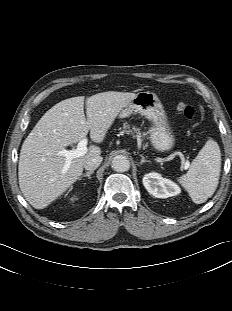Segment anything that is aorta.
<instances>
[{
    "mask_svg": "<svg viewBox=\"0 0 232 311\" xmlns=\"http://www.w3.org/2000/svg\"><path fill=\"white\" fill-rule=\"evenodd\" d=\"M111 166L116 172H126L130 168V161L123 155H117L113 158Z\"/></svg>",
    "mask_w": 232,
    "mask_h": 311,
    "instance_id": "1",
    "label": "aorta"
}]
</instances>
